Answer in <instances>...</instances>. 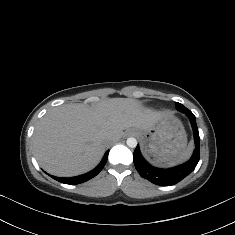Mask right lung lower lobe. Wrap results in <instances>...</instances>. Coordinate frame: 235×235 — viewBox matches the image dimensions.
Wrapping results in <instances>:
<instances>
[{
  "mask_svg": "<svg viewBox=\"0 0 235 235\" xmlns=\"http://www.w3.org/2000/svg\"><path fill=\"white\" fill-rule=\"evenodd\" d=\"M108 153H109L108 151L105 153L102 161L95 169H93L92 171H90L84 175L70 177V178H61V177H55V176H51V177L61 183L70 184V185H76V184L86 182V181L90 180L91 178L95 177L103 169V167L105 166L106 161L108 159Z\"/></svg>",
  "mask_w": 235,
  "mask_h": 235,
  "instance_id": "98d812e1",
  "label": "right lung lower lobe"
}]
</instances>
